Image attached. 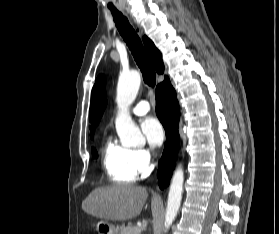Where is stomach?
<instances>
[{
  "mask_svg": "<svg viewBox=\"0 0 279 234\" xmlns=\"http://www.w3.org/2000/svg\"><path fill=\"white\" fill-rule=\"evenodd\" d=\"M96 229L99 234H120L118 227L108 223L107 221H99L96 225Z\"/></svg>",
  "mask_w": 279,
  "mask_h": 234,
  "instance_id": "stomach-1",
  "label": "stomach"
}]
</instances>
